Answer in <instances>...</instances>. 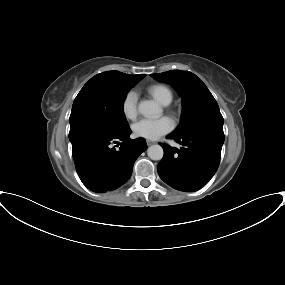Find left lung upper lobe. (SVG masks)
Listing matches in <instances>:
<instances>
[{
  "instance_id": "left-lung-upper-lobe-1",
  "label": "left lung upper lobe",
  "mask_w": 285,
  "mask_h": 285,
  "mask_svg": "<svg viewBox=\"0 0 285 285\" xmlns=\"http://www.w3.org/2000/svg\"><path fill=\"white\" fill-rule=\"evenodd\" d=\"M151 76L157 81L171 84L183 97L181 122L172 134L186 136L204 129L223 132V117L218 104L196 75L191 72L171 70Z\"/></svg>"
}]
</instances>
